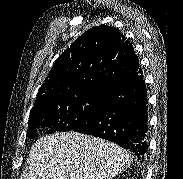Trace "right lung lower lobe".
<instances>
[{
	"instance_id": "1",
	"label": "right lung lower lobe",
	"mask_w": 183,
	"mask_h": 179,
	"mask_svg": "<svg viewBox=\"0 0 183 179\" xmlns=\"http://www.w3.org/2000/svg\"><path fill=\"white\" fill-rule=\"evenodd\" d=\"M75 131L117 143L143 160L148 149V98L142 70L108 85L94 116Z\"/></svg>"
}]
</instances>
